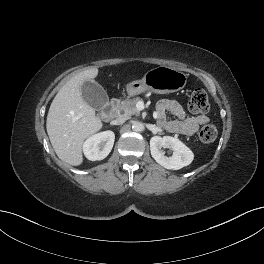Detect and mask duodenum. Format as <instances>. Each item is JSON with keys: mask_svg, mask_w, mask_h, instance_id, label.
Listing matches in <instances>:
<instances>
[{"mask_svg": "<svg viewBox=\"0 0 264 264\" xmlns=\"http://www.w3.org/2000/svg\"><path fill=\"white\" fill-rule=\"evenodd\" d=\"M117 105H118V100L115 98L112 99L110 104L107 106V108L102 113V119L104 121H109L116 116Z\"/></svg>", "mask_w": 264, "mask_h": 264, "instance_id": "1", "label": "duodenum"}]
</instances>
